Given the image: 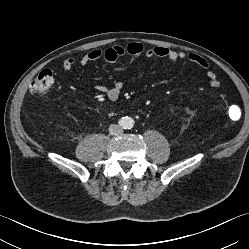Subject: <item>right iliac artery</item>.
<instances>
[{
	"mask_svg": "<svg viewBox=\"0 0 249 249\" xmlns=\"http://www.w3.org/2000/svg\"><path fill=\"white\" fill-rule=\"evenodd\" d=\"M119 124L122 126V122L120 121Z\"/></svg>",
	"mask_w": 249,
	"mask_h": 249,
	"instance_id": "right-iliac-artery-1",
	"label": "right iliac artery"
}]
</instances>
